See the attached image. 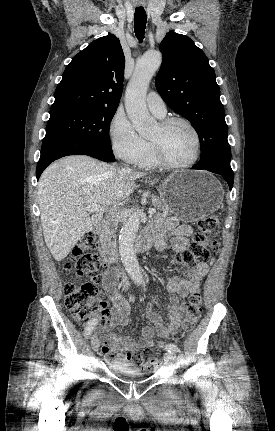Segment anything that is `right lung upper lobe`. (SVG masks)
Instances as JSON below:
<instances>
[{
  "mask_svg": "<svg viewBox=\"0 0 275 431\" xmlns=\"http://www.w3.org/2000/svg\"><path fill=\"white\" fill-rule=\"evenodd\" d=\"M125 57L109 34L72 58L55 90L50 113L75 108H117L123 90Z\"/></svg>",
  "mask_w": 275,
  "mask_h": 431,
  "instance_id": "1",
  "label": "right lung upper lobe"
}]
</instances>
